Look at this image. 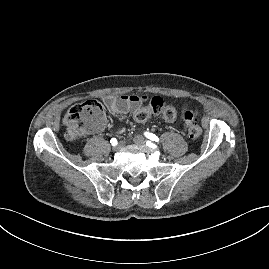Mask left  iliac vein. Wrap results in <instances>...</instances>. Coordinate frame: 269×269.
Listing matches in <instances>:
<instances>
[{
    "instance_id": "1",
    "label": "left iliac vein",
    "mask_w": 269,
    "mask_h": 269,
    "mask_svg": "<svg viewBox=\"0 0 269 269\" xmlns=\"http://www.w3.org/2000/svg\"><path fill=\"white\" fill-rule=\"evenodd\" d=\"M133 141L135 144L137 145H141L145 142V138L141 135H135L134 138H133Z\"/></svg>"
}]
</instances>
